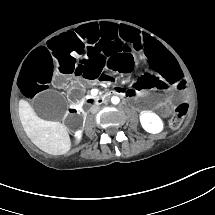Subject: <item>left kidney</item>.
Instances as JSON below:
<instances>
[{"instance_id": "left-kidney-1", "label": "left kidney", "mask_w": 215, "mask_h": 215, "mask_svg": "<svg viewBox=\"0 0 215 215\" xmlns=\"http://www.w3.org/2000/svg\"><path fill=\"white\" fill-rule=\"evenodd\" d=\"M143 128L150 133H158L163 128L161 119L153 113L143 112L140 117Z\"/></svg>"}]
</instances>
